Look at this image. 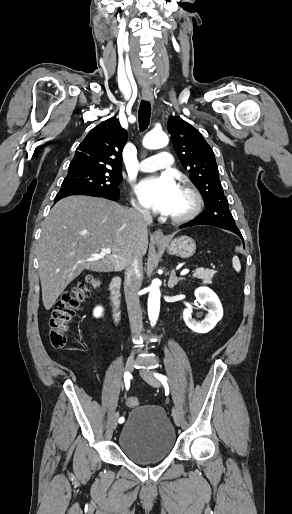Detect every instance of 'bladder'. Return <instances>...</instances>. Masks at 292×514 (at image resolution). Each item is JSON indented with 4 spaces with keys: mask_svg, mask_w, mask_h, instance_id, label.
Masks as SVG:
<instances>
[{
    "mask_svg": "<svg viewBox=\"0 0 292 514\" xmlns=\"http://www.w3.org/2000/svg\"><path fill=\"white\" fill-rule=\"evenodd\" d=\"M175 444V430L164 409L157 405L134 407L118 438V446L123 454L138 464L165 459Z\"/></svg>",
    "mask_w": 292,
    "mask_h": 514,
    "instance_id": "1",
    "label": "bladder"
}]
</instances>
